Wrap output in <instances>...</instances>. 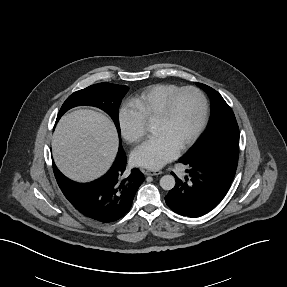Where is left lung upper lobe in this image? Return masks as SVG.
<instances>
[{
  "instance_id": "obj_1",
  "label": "left lung upper lobe",
  "mask_w": 287,
  "mask_h": 287,
  "mask_svg": "<svg viewBox=\"0 0 287 287\" xmlns=\"http://www.w3.org/2000/svg\"><path fill=\"white\" fill-rule=\"evenodd\" d=\"M206 91L211 102V118L204 136L179 161L183 163H219L237 167L239 128L234 113L213 88L196 83Z\"/></svg>"
}]
</instances>
